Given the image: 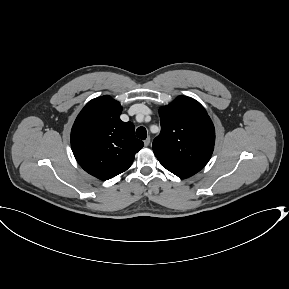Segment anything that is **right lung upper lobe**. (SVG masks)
<instances>
[{"instance_id":"obj_1","label":"right lung upper lobe","mask_w":289,"mask_h":289,"mask_svg":"<svg viewBox=\"0 0 289 289\" xmlns=\"http://www.w3.org/2000/svg\"><path fill=\"white\" fill-rule=\"evenodd\" d=\"M120 103L105 95L87 103L71 130V146L80 166L100 180L126 171L144 143L134 125L120 119Z\"/></svg>"}]
</instances>
